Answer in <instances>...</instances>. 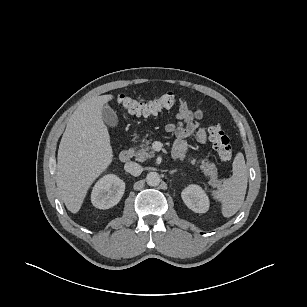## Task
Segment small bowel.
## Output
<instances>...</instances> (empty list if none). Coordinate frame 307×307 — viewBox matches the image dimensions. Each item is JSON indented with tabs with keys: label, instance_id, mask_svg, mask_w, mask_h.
I'll list each match as a JSON object with an SVG mask.
<instances>
[{
	"label": "small bowel",
	"instance_id": "c3829d8e",
	"mask_svg": "<svg viewBox=\"0 0 307 307\" xmlns=\"http://www.w3.org/2000/svg\"><path fill=\"white\" fill-rule=\"evenodd\" d=\"M203 113L200 109L192 110L184 99L179 100V109L176 121L166 125V131L175 135L173 155L177 159L183 158L188 152V144L185 138L196 134L197 141L204 144L207 140V131L201 126Z\"/></svg>",
	"mask_w": 307,
	"mask_h": 307
}]
</instances>
